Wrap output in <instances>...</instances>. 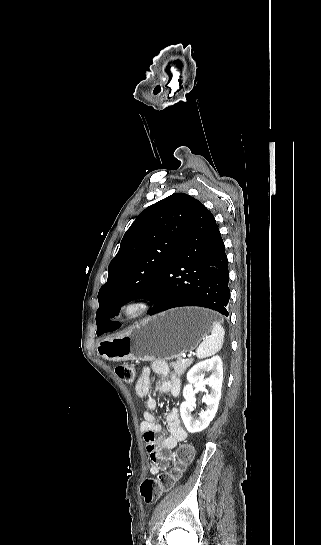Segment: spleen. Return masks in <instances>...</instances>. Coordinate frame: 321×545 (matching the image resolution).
I'll use <instances>...</instances> for the list:
<instances>
[{
    "mask_svg": "<svg viewBox=\"0 0 321 545\" xmlns=\"http://www.w3.org/2000/svg\"><path fill=\"white\" fill-rule=\"evenodd\" d=\"M224 335L225 331L222 325L220 323H213L209 339H205L196 351L198 359H206V357L216 355L224 343Z\"/></svg>",
    "mask_w": 321,
    "mask_h": 545,
    "instance_id": "obj_1",
    "label": "spleen"
}]
</instances>
